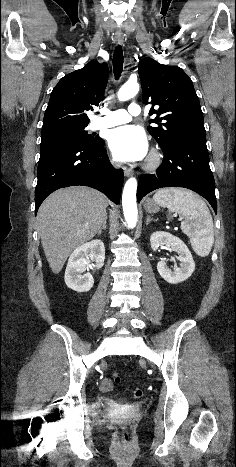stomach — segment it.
Here are the masks:
<instances>
[{"label": "stomach", "instance_id": "stomach-1", "mask_svg": "<svg viewBox=\"0 0 236 467\" xmlns=\"http://www.w3.org/2000/svg\"><path fill=\"white\" fill-rule=\"evenodd\" d=\"M160 204L157 203L154 199H148L146 200L145 202V210L148 212V213H157L160 211Z\"/></svg>", "mask_w": 236, "mask_h": 467}]
</instances>
